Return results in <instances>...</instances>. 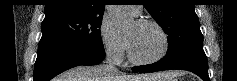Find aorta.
Wrapping results in <instances>:
<instances>
[{
  "instance_id": "1",
  "label": "aorta",
  "mask_w": 237,
  "mask_h": 81,
  "mask_svg": "<svg viewBox=\"0 0 237 81\" xmlns=\"http://www.w3.org/2000/svg\"><path fill=\"white\" fill-rule=\"evenodd\" d=\"M108 15L111 17L117 31L128 29L134 22V18L124 5H110Z\"/></svg>"
}]
</instances>
